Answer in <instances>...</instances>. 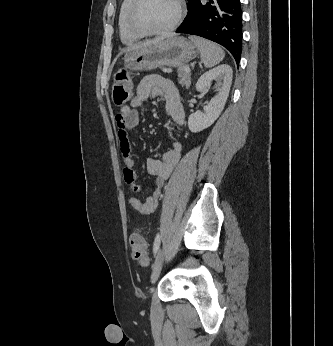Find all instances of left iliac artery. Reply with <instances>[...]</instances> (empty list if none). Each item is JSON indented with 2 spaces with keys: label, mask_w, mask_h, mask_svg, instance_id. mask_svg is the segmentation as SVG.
Segmentation results:
<instances>
[{
  "label": "left iliac artery",
  "mask_w": 333,
  "mask_h": 346,
  "mask_svg": "<svg viewBox=\"0 0 333 346\" xmlns=\"http://www.w3.org/2000/svg\"><path fill=\"white\" fill-rule=\"evenodd\" d=\"M159 246H160V235L157 234L156 238H155V241H154V246H153V253L154 255H156L158 249H159Z\"/></svg>",
  "instance_id": "1"
}]
</instances>
